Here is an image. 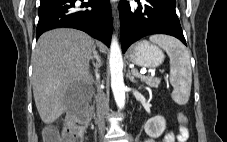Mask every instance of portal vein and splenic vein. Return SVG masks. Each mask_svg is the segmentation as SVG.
<instances>
[{
    "instance_id": "1",
    "label": "portal vein and splenic vein",
    "mask_w": 227,
    "mask_h": 142,
    "mask_svg": "<svg viewBox=\"0 0 227 142\" xmlns=\"http://www.w3.org/2000/svg\"><path fill=\"white\" fill-rule=\"evenodd\" d=\"M132 72H133V74H135V75H144V74H146V71H145V70L140 71V72H138V71H136V70H132Z\"/></svg>"
}]
</instances>
